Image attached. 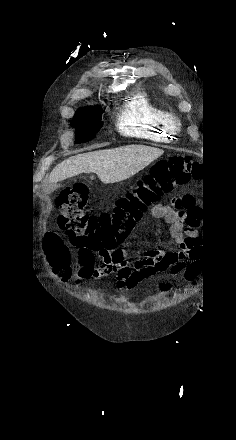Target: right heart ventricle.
I'll return each mask as SVG.
<instances>
[{"label":"right heart ventricle","instance_id":"1","mask_svg":"<svg viewBox=\"0 0 236 440\" xmlns=\"http://www.w3.org/2000/svg\"><path fill=\"white\" fill-rule=\"evenodd\" d=\"M171 113L146 93H134L124 104L118 118V128L126 136L155 143L172 140L174 124Z\"/></svg>","mask_w":236,"mask_h":440}]
</instances>
